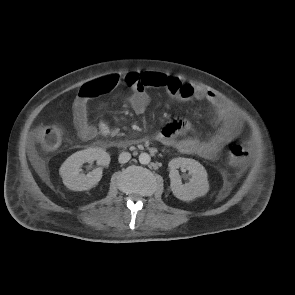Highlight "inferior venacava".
<instances>
[{
  "instance_id": "1",
  "label": "inferior vena cava",
  "mask_w": 295,
  "mask_h": 295,
  "mask_svg": "<svg viewBox=\"0 0 295 295\" xmlns=\"http://www.w3.org/2000/svg\"><path fill=\"white\" fill-rule=\"evenodd\" d=\"M131 158V154L129 152H122L120 155H119V158H118V161L120 163H126L130 160Z\"/></svg>"
}]
</instances>
